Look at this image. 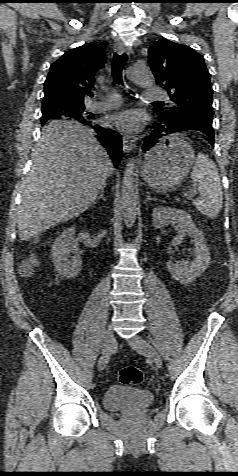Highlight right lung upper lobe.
<instances>
[{
    "label": "right lung upper lobe",
    "mask_w": 238,
    "mask_h": 476,
    "mask_svg": "<svg viewBox=\"0 0 238 476\" xmlns=\"http://www.w3.org/2000/svg\"><path fill=\"white\" fill-rule=\"evenodd\" d=\"M107 42L84 44L54 62L44 85L43 101L84 105L96 72L104 66Z\"/></svg>",
    "instance_id": "obj_1"
}]
</instances>
